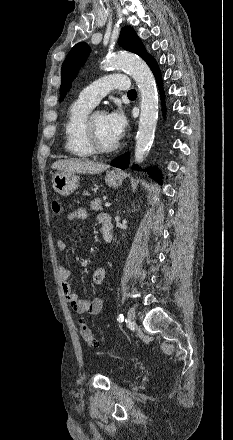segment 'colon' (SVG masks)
Masks as SVG:
<instances>
[{"mask_svg":"<svg viewBox=\"0 0 233 440\" xmlns=\"http://www.w3.org/2000/svg\"><path fill=\"white\" fill-rule=\"evenodd\" d=\"M51 208L55 215L62 214V205L58 199H53L51 202ZM80 327V333L84 341L89 347H98L99 342L95 339L94 335L92 334L91 330L89 329L88 325L85 321L81 320L79 322Z\"/></svg>","mask_w":233,"mask_h":440,"instance_id":"obj_1","label":"colon"}]
</instances>
